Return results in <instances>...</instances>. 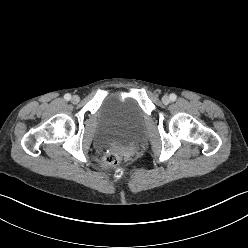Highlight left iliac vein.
<instances>
[{"mask_svg":"<svg viewBox=\"0 0 248 248\" xmlns=\"http://www.w3.org/2000/svg\"><path fill=\"white\" fill-rule=\"evenodd\" d=\"M162 102H163L164 104H168V103L170 102L169 96H168V95H164V96L162 97Z\"/></svg>","mask_w":248,"mask_h":248,"instance_id":"1","label":"left iliac vein"}]
</instances>
